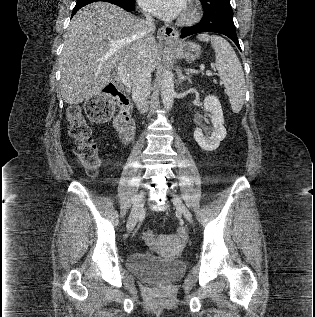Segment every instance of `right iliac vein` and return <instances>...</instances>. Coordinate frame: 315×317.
Masks as SVG:
<instances>
[{
	"mask_svg": "<svg viewBox=\"0 0 315 317\" xmlns=\"http://www.w3.org/2000/svg\"><path fill=\"white\" fill-rule=\"evenodd\" d=\"M144 198H145V191H141L135 199L134 205L132 207V210L127 222V229L129 232H131L134 229L138 221V217L144 205Z\"/></svg>",
	"mask_w": 315,
	"mask_h": 317,
	"instance_id": "obj_1",
	"label": "right iliac vein"
}]
</instances>
